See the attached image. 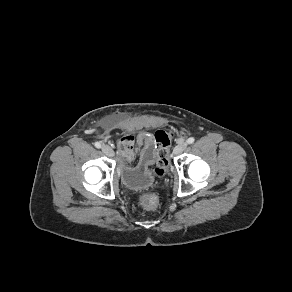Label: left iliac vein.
I'll list each match as a JSON object with an SVG mask.
<instances>
[{"label":"left iliac vein","instance_id":"left-iliac-vein-1","mask_svg":"<svg viewBox=\"0 0 292 292\" xmlns=\"http://www.w3.org/2000/svg\"><path fill=\"white\" fill-rule=\"evenodd\" d=\"M187 142L186 141H180L177 145H176V147L174 148V152H173V154L174 155H179V154H181L185 149H186V147H187Z\"/></svg>","mask_w":292,"mask_h":292}]
</instances>
